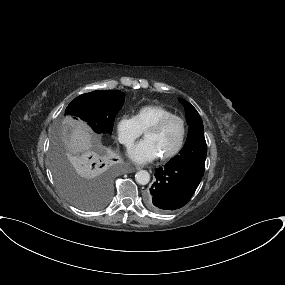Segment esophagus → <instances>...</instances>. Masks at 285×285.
<instances>
[{
	"instance_id": "1",
	"label": "esophagus",
	"mask_w": 285,
	"mask_h": 285,
	"mask_svg": "<svg viewBox=\"0 0 285 285\" xmlns=\"http://www.w3.org/2000/svg\"><path fill=\"white\" fill-rule=\"evenodd\" d=\"M140 169H142V166H136L135 168H129L128 169V172H134L135 170H140Z\"/></svg>"
}]
</instances>
